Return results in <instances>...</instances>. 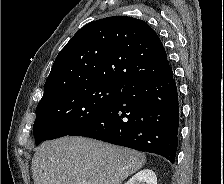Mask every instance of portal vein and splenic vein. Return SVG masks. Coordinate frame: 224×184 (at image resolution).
I'll use <instances>...</instances> for the list:
<instances>
[{
    "label": "portal vein and splenic vein",
    "mask_w": 224,
    "mask_h": 184,
    "mask_svg": "<svg viewBox=\"0 0 224 184\" xmlns=\"http://www.w3.org/2000/svg\"><path fill=\"white\" fill-rule=\"evenodd\" d=\"M85 184H91L90 182H85Z\"/></svg>",
    "instance_id": "18ae733b"
}]
</instances>
